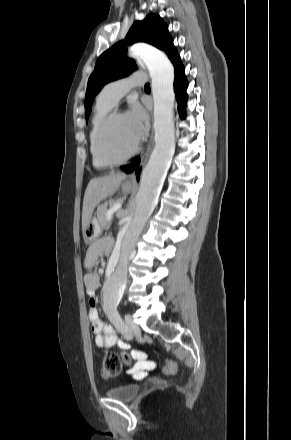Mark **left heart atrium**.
I'll list each match as a JSON object with an SVG mask.
<instances>
[{
	"instance_id": "1",
	"label": "left heart atrium",
	"mask_w": 291,
	"mask_h": 440,
	"mask_svg": "<svg viewBox=\"0 0 291 440\" xmlns=\"http://www.w3.org/2000/svg\"><path fill=\"white\" fill-rule=\"evenodd\" d=\"M131 129L139 139L147 127L148 118L144 110L137 104L133 105L125 114Z\"/></svg>"
}]
</instances>
